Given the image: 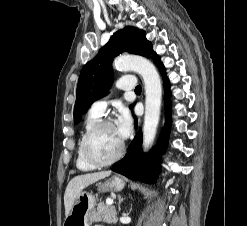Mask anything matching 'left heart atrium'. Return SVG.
<instances>
[{"mask_svg": "<svg viewBox=\"0 0 247 226\" xmlns=\"http://www.w3.org/2000/svg\"><path fill=\"white\" fill-rule=\"evenodd\" d=\"M116 130L122 140L126 139L132 131V121L130 115L124 111L116 122Z\"/></svg>", "mask_w": 247, "mask_h": 226, "instance_id": "left-heart-atrium-1", "label": "left heart atrium"}]
</instances>
